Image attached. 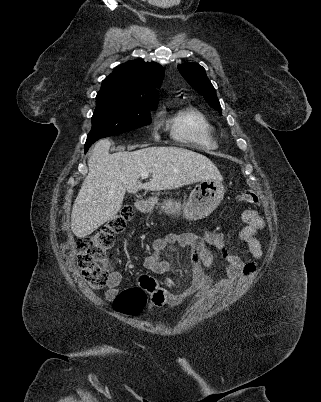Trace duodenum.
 <instances>
[{
	"mask_svg": "<svg viewBox=\"0 0 321 402\" xmlns=\"http://www.w3.org/2000/svg\"><path fill=\"white\" fill-rule=\"evenodd\" d=\"M148 206V201L146 199H136L134 202V207L139 210L142 211L144 209H146Z\"/></svg>",
	"mask_w": 321,
	"mask_h": 402,
	"instance_id": "410a0bca",
	"label": "duodenum"
}]
</instances>
